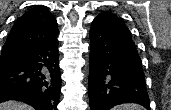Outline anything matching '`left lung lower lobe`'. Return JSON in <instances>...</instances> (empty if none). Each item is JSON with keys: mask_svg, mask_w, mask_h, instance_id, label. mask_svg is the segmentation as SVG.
Returning a JSON list of instances; mask_svg holds the SVG:
<instances>
[{"mask_svg": "<svg viewBox=\"0 0 171 110\" xmlns=\"http://www.w3.org/2000/svg\"><path fill=\"white\" fill-rule=\"evenodd\" d=\"M89 36L91 110H109L121 103H138L149 110L145 75L132 37L101 16L93 20Z\"/></svg>", "mask_w": 171, "mask_h": 110, "instance_id": "obj_1", "label": "left lung lower lobe"}]
</instances>
